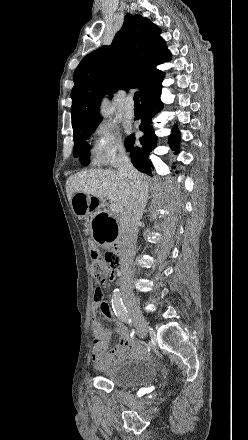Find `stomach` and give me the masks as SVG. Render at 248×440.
Segmentation results:
<instances>
[{
  "label": "stomach",
  "mask_w": 248,
  "mask_h": 440,
  "mask_svg": "<svg viewBox=\"0 0 248 440\" xmlns=\"http://www.w3.org/2000/svg\"><path fill=\"white\" fill-rule=\"evenodd\" d=\"M98 205V198L85 193H75L71 207L78 218H90L87 232H92V241L96 246H115L119 240L121 226L118 218H113V209H93Z\"/></svg>",
  "instance_id": "obj_1"
}]
</instances>
